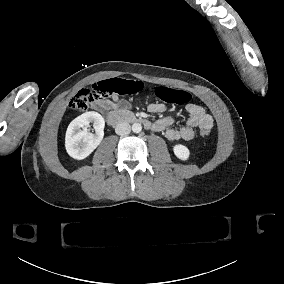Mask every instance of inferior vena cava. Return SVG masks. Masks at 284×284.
Segmentation results:
<instances>
[{"mask_svg": "<svg viewBox=\"0 0 284 284\" xmlns=\"http://www.w3.org/2000/svg\"><path fill=\"white\" fill-rule=\"evenodd\" d=\"M115 132L118 135H127L131 132V126L127 122H121L116 125Z\"/></svg>", "mask_w": 284, "mask_h": 284, "instance_id": "602c4592", "label": "inferior vena cava"}]
</instances>
